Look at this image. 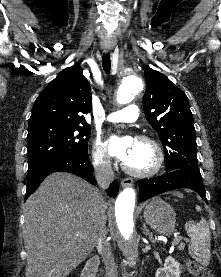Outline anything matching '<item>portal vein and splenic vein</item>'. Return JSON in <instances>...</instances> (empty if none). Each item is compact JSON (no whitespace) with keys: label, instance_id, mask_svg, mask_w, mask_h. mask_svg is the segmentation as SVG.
<instances>
[{"label":"portal vein and splenic vein","instance_id":"portal-vein-and-splenic-vein-1","mask_svg":"<svg viewBox=\"0 0 221 277\" xmlns=\"http://www.w3.org/2000/svg\"><path fill=\"white\" fill-rule=\"evenodd\" d=\"M174 236H175L174 244H178L182 240V237L178 236L177 234H175Z\"/></svg>","mask_w":221,"mask_h":277}]
</instances>
